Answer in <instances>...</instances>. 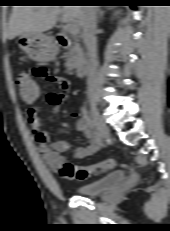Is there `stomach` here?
Listing matches in <instances>:
<instances>
[{
	"instance_id": "1",
	"label": "stomach",
	"mask_w": 170,
	"mask_h": 231,
	"mask_svg": "<svg viewBox=\"0 0 170 231\" xmlns=\"http://www.w3.org/2000/svg\"><path fill=\"white\" fill-rule=\"evenodd\" d=\"M16 42L18 47L35 61L48 62L56 57L57 47L55 43L43 33H23L18 36Z\"/></svg>"
}]
</instances>
